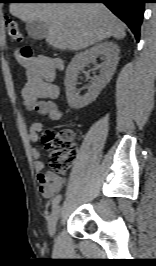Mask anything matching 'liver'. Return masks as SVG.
<instances>
[{
    "mask_svg": "<svg viewBox=\"0 0 156 266\" xmlns=\"http://www.w3.org/2000/svg\"><path fill=\"white\" fill-rule=\"evenodd\" d=\"M9 10L27 23L43 21L46 42L59 50L78 51L126 36L124 24L102 3H11Z\"/></svg>",
    "mask_w": 156,
    "mask_h": 266,
    "instance_id": "6515ba94",
    "label": "liver"
}]
</instances>
